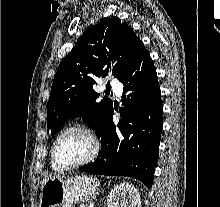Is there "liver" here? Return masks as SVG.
Segmentation results:
<instances>
[{
	"mask_svg": "<svg viewBox=\"0 0 220 207\" xmlns=\"http://www.w3.org/2000/svg\"><path fill=\"white\" fill-rule=\"evenodd\" d=\"M46 180H47V179H46ZM46 180L43 181V184L45 183ZM42 186H43V185H42Z\"/></svg>",
	"mask_w": 220,
	"mask_h": 207,
	"instance_id": "1",
	"label": "liver"
}]
</instances>
